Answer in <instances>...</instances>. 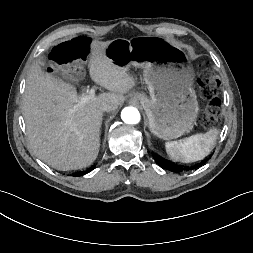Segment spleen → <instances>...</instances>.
Wrapping results in <instances>:
<instances>
[{"mask_svg": "<svg viewBox=\"0 0 253 253\" xmlns=\"http://www.w3.org/2000/svg\"><path fill=\"white\" fill-rule=\"evenodd\" d=\"M219 131L215 128L180 141L166 142L169 157L175 161L190 163L204 159L212 151Z\"/></svg>", "mask_w": 253, "mask_h": 253, "instance_id": "spleen-1", "label": "spleen"}]
</instances>
